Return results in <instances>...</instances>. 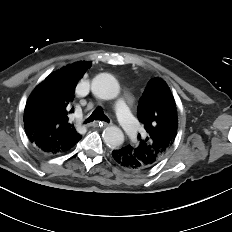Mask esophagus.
<instances>
[{"mask_svg":"<svg viewBox=\"0 0 232 232\" xmlns=\"http://www.w3.org/2000/svg\"><path fill=\"white\" fill-rule=\"evenodd\" d=\"M111 124L110 123H107V122H102V121H95V122H92L91 124H89V126H93V127H108L110 126Z\"/></svg>","mask_w":232,"mask_h":232,"instance_id":"esophagus-1","label":"esophagus"}]
</instances>
